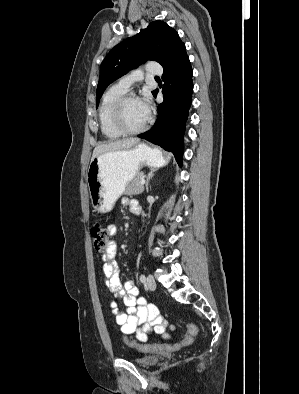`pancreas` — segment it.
<instances>
[{
    "label": "pancreas",
    "instance_id": "pancreas-1",
    "mask_svg": "<svg viewBox=\"0 0 299 394\" xmlns=\"http://www.w3.org/2000/svg\"><path fill=\"white\" fill-rule=\"evenodd\" d=\"M144 178V173L140 172L136 177L126 186V195H138L144 190V186L140 184L141 180Z\"/></svg>",
    "mask_w": 299,
    "mask_h": 394
}]
</instances>
